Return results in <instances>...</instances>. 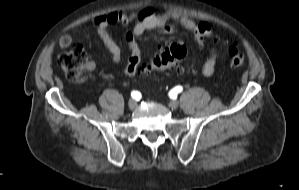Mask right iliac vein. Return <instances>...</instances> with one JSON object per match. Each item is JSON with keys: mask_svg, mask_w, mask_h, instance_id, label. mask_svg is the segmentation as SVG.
I'll return each mask as SVG.
<instances>
[{"mask_svg": "<svg viewBox=\"0 0 299 190\" xmlns=\"http://www.w3.org/2000/svg\"><path fill=\"white\" fill-rule=\"evenodd\" d=\"M136 105H137L136 100H134V99L129 100L128 107L130 109H134L136 107Z\"/></svg>", "mask_w": 299, "mask_h": 190, "instance_id": "63e3f726", "label": "right iliac vein"}]
</instances>
